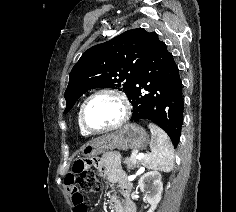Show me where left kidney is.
<instances>
[{"mask_svg": "<svg viewBox=\"0 0 236 212\" xmlns=\"http://www.w3.org/2000/svg\"><path fill=\"white\" fill-rule=\"evenodd\" d=\"M161 174L158 171H150L141 176L138 186L142 191L147 189L144 199L150 204L148 212H154L161 200L163 184Z\"/></svg>", "mask_w": 236, "mask_h": 212, "instance_id": "obj_1", "label": "left kidney"}]
</instances>
